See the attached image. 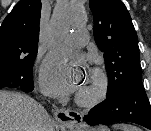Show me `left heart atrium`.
Returning <instances> with one entry per match:
<instances>
[{"mask_svg": "<svg viewBox=\"0 0 151 131\" xmlns=\"http://www.w3.org/2000/svg\"><path fill=\"white\" fill-rule=\"evenodd\" d=\"M85 79L83 59L63 53L49 56L40 74L43 91L53 97H63L78 91Z\"/></svg>", "mask_w": 151, "mask_h": 131, "instance_id": "1", "label": "left heart atrium"}]
</instances>
